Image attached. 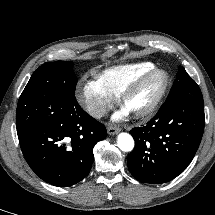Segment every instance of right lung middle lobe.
Listing matches in <instances>:
<instances>
[{
  "instance_id": "right-lung-middle-lobe-1",
  "label": "right lung middle lobe",
  "mask_w": 215,
  "mask_h": 215,
  "mask_svg": "<svg viewBox=\"0 0 215 215\" xmlns=\"http://www.w3.org/2000/svg\"><path fill=\"white\" fill-rule=\"evenodd\" d=\"M69 61L46 62L31 76L17 105L18 138L25 136L54 112L74 105L77 78Z\"/></svg>"
}]
</instances>
